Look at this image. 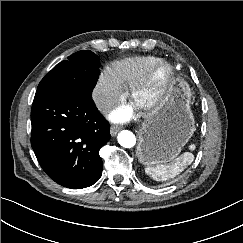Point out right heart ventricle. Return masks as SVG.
I'll use <instances>...</instances> for the list:
<instances>
[{
  "label": "right heart ventricle",
  "mask_w": 243,
  "mask_h": 243,
  "mask_svg": "<svg viewBox=\"0 0 243 243\" xmlns=\"http://www.w3.org/2000/svg\"><path fill=\"white\" fill-rule=\"evenodd\" d=\"M157 60L159 58L152 55L126 57L111 62L106 72L122 90H127L142 78Z\"/></svg>",
  "instance_id": "obj_1"
}]
</instances>
